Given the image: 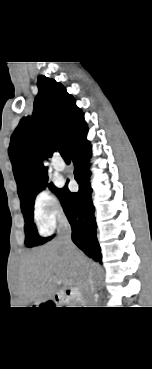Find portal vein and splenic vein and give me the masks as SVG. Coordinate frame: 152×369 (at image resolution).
Segmentation results:
<instances>
[{
  "mask_svg": "<svg viewBox=\"0 0 152 369\" xmlns=\"http://www.w3.org/2000/svg\"><path fill=\"white\" fill-rule=\"evenodd\" d=\"M56 283L57 284H61V280H56Z\"/></svg>",
  "mask_w": 152,
  "mask_h": 369,
  "instance_id": "1",
  "label": "portal vein and splenic vein"
}]
</instances>
